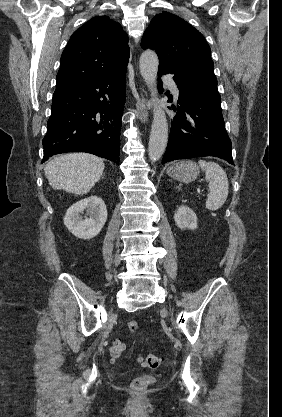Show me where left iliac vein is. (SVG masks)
I'll return each instance as SVG.
<instances>
[{
  "label": "left iliac vein",
  "mask_w": 282,
  "mask_h": 417,
  "mask_svg": "<svg viewBox=\"0 0 282 417\" xmlns=\"http://www.w3.org/2000/svg\"><path fill=\"white\" fill-rule=\"evenodd\" d=\"M164 313L166 312L164 309L162 310Z\"/></svg>",
  "instance_id": "4c4485c4"
}]
</instances>
